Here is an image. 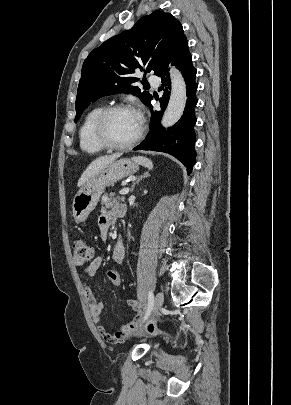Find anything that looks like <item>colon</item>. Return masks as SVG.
Segmentation results:
<instances>
[{
	"label": "colon",
	"mask_w": 291,
	"mask_h": 405,
	"mask_svg": "<svg viewBox=\"0 0 291 405\" xmlns=\"http://www.w3.org/2000/svg\"><path fill=\"white\" fill-rule=\"evenodd\" d=\"M72 247V256L74 265L77 267H82L85 264L89 263L94 258V249L91 245L87 244L85 241L77 239L74 240L71 244ZM108 279L110 282L118 286L121 281V273L118 270H109L107 273ZM147 330L151 334L163 335L164 333L156 328L153 323H149Z\"/></svg>",
	"instance_id": "colon-1"
}]
</instances>
